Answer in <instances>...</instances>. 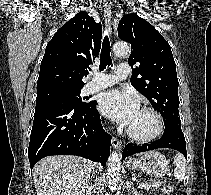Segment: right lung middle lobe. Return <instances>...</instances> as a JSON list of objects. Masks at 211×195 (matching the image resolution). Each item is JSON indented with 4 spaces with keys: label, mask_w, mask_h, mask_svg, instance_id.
Returning a JSON list of instances; mask_svg holds the SVG:
<instances>
[{
    "label": "right lung middle lobe",
    "mask_w": 211,
    "mask_h": 195,
    "mask_svg": "<svg viewBox=\"0 0 211 195\" xmlns=\"http://www.w3.org/2000/svg\"><path fill=\"white\" fill-rule=\"evenodd\" d=\"M80 88L52 89L37 93L36 104L46 101H59L69 105L83 106L81 102Z\"/></svg>",
    "instance_id": "dd1d6c3e"
}]
</instances>
